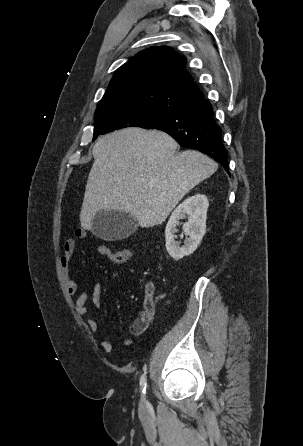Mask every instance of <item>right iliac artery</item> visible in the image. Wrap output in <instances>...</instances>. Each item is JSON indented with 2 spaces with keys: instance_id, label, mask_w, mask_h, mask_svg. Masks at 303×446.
I'll list each match as a JSON object with an SVG mask.
<instances>
[{
  "instance_id": "1",
  "label": "right iliac artery",
  "mask_w": 303,
  "mask_h": 446,
  "mask_svg": "<svg viewBox=\"0 0 303 446\" xmlns=\"http://www.w3.org/2000/svg\"><path fill=\"white\" fill-rule=\"evenodd\" d=\"M140 386L142 388V393H145L146 391V386H147V382H146V376L145 374H143L140 378Z\"/></svg>"
}]
</instances>
